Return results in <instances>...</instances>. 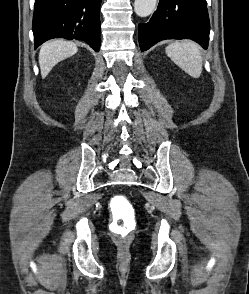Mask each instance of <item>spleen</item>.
Wrapping results in <instances>:
<instances>
[{"mask_svg":"<svg viewBox=\"0 0 249 294\" xmlns=\"http://www.w3.org/2000/svg\"><path fill=\"white\" fill-rule=\"evenodd\" d=\"M166 54L186 73L199 78L202 73L200 47L193 41L175 42L166 47Z\"/></svg>","mask_w":249,"mask_h":294,"instance_id":"1","label":"spleen"}]
</instances>
